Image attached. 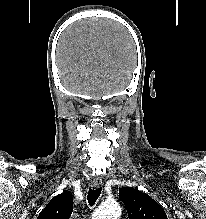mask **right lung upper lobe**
I'll return each instance as SVG.
<instances>
[{
  "label": "right lung upper lobe",
  "mask_w": 206,
  "mask_h": 219,
  "mask_svg": "<svg viewBox=\"0 0 206 219\" xmlns=\"http://www.w3.org/2000/svg\"><path fill=\"white\" fill-rule=\"evenodd\" d=\"M73 211V197L64 192L53 197L37 219H69Z\"/></svg>",
  "instance_id": "right-lung-upper-lobe-1"
}]
</instances>
